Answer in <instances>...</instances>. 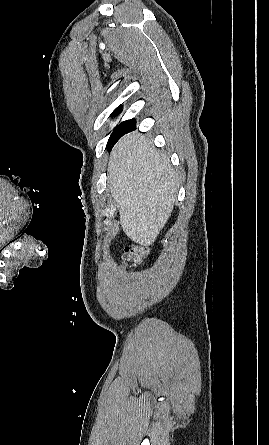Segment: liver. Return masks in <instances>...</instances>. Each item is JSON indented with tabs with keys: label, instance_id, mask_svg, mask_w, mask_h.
<instances>
[{
	"label": "liver",
	"instance_id": "1",
	"mask_svg": "<svg viewBox=\"0 0 269 445\" xmlns=\"http://www.w3.org/2000/svg\"><path fill=\"white\" fill-rule=\"evenodd\" d=\"M108 181L124 233L143 246L153 244L176 202L178 173L169 159L150 139L127 134L111 152Z\"/></svg>",
	"mask_w": 269,
	"mask_h": 445
}]
</instances>
